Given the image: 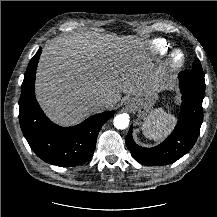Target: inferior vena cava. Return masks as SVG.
<instances>
[{
	"instance_id": "inferior-vena-cava-1",
	"label": "inferior vena cava",
	"mask_w": 217,
	"mask_h": 217,
	"mask_svg": "<svg viewBox=\"0 0 217 217\" xmlns=\"http://www.w3.org/2000/svg\"><path fill=\"white\" fill-rule=\"evenodd\" d=\"M109 103L107 99H93L89 103V107L93 112H99Z\"/></svg>"
}]
</instances>
